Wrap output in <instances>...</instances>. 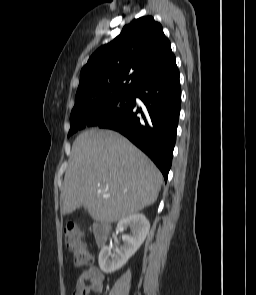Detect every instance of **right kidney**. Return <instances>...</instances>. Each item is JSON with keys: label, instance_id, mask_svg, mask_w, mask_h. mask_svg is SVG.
<instances>
[{"label": "right kidney", "instance_id": "obj_1", "mask_svg": "<svg viewBox=\"0 0 256 295\" xmlns=\"http://www.w3.org/2000/svg\"><path fill=\"white\" fill-rule=\"evenodd\" d=\"M127 227L131 229V234L122 236L123 244L116 248L113 254L110 247L105 246L101 249L98 263L104 273H113L126 264L144 242L150 224L143 214L137 213L121 219L117 224L121 232Z\"/></svg>", "mask_w": 256, "mask_h": 295}]
</instances>
